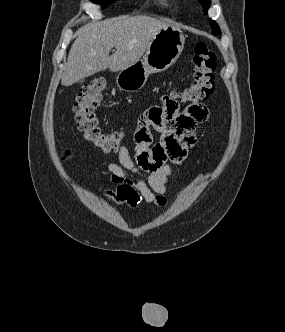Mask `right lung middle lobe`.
I'll return each mask as SVG.
<instances>
[{
	"label": "right lung middle lobe",
	"instance_id": "1",
	"mask_svg": "<svg viewBox=\"0 0 285 332\" xmlns=\"http://www.w3.org/2000/svg\"><path fill=\"white\" fill-rule=\"evenodd\" d=\"M93 3L96 4H101L103 8H105L106 6H108L109 4L113 3L116 0H90Z\"/></svg>",
	"mask_w": 285,
	"mask_h": 332
}]
</instances>
